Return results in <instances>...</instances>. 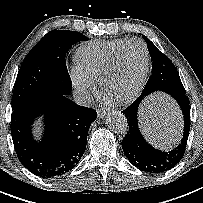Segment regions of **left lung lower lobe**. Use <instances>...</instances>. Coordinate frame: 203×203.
Here are the masks:
<instances>
[{"label": "left lung lower lobe", "instance_id": "left-lung-lower-lobe-1", "mask_svg": "<svg viewBox=\"0 0 203 203\" xmlns=\"http://www.w3.org/2000/svg\"><path fill=\"white\" fill-rule=\"evenodd\" d=\"M179 105L184 118V132L180 144L165 152L152 147L142 136L137 119L138 107L146 97L143 93L129 107L123 110L129 131L122 141V148L131 164L147 173H162L173 168L184 156L190 131V101L185 94L171 95Z\"/></svg>", "mask_w": 203, "mask_h": 203}]
</instances>
